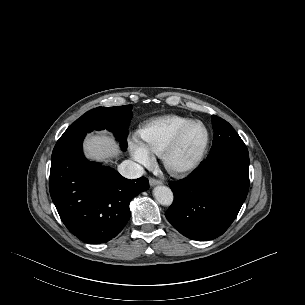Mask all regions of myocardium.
Segmentation results:
<instances>
[{
  "instance_id": "f54148a6",
  "label": "myocardium",
  "mask_w": 305,
  "mask_h": 305,
  "mask_svg": "<svg viewBox=\"0 0 305 305\" xmlns=\"http://www.w3.org/2000/svg\"><path fill=\"white\" fill-rule=\"evenodd\" d=\"M195 125H201L206 133L204 144L199 153L190 161L186 163H178L175 161L176 154L178 153L187 132ZM211 141L210 130L207 125L200 120H193L186 124L175 136L170 145L165 149L162 154V160L165 169L173 176L184 177L194 172L204 161Z\"/></svg>"
}]
</instances>
